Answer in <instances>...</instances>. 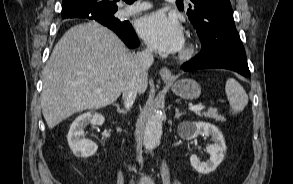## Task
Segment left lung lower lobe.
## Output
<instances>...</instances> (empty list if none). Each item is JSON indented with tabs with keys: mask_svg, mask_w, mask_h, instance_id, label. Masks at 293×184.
I'll return each instance as SVG.
<instances>
[{
	"mask_svg": "<svg viewBox=\"0 0 293 184\" xmlns=\"http://www.w3.org/2000/svg\"><path fill=\"white\" fill-rule=\"evenodd\" d=\"M182 67L184 71L224 68L236 71L245 77L250 76L243 44L237 30L233 28H230V33L219 35L210 46L202 43L201 53Z\"/></svg>",
	"mask_w": 293,
	"mask_h": 184,
	"instance_id": "obj_1",
	"label": "left lung lower lobe"
}]
</instances>
